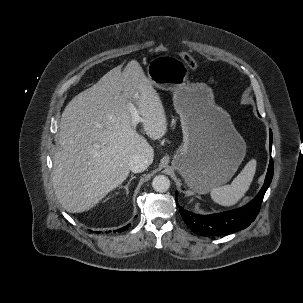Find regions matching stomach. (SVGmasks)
<instances>
[{"mask_svg": "<svg viewBox=\"0 0 303 303\" xmlns=\"http://www.w3.org/2000/svg\"><path fill=\"white\" fill-rule=\"evenodd\" d=\"M147 74L153 86L173 92L180 115L183 143L173 167L200 194L227 183L246 155V144L230 115L215 104L212 89L190 83L186 65L173 56L152 59Z\"/></svg>", "mask_w": 303, "mask_h": 303, "instance_id": "1", "label": "stomach"}]
</instances>
